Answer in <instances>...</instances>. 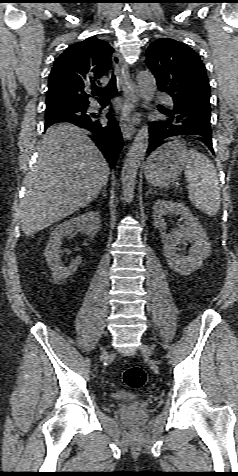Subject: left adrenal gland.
<instances>
[{
    "instance_id": "obj_1",
    "label": "left adrenal gland",
    "mask_w": 238,
    "mask_h": 476,
    "mask_svg": "<svg viewBox=\"0 0 238 476\" xmlns=\"http://www.w3.org/2000/svg\"><path fill=\"white\" fill-rule=\"evenodd\" d=\"M152 193H154V194H157L156 192H153V190H152V189H150V190L147 192V194H146V195H149V194H152Z\"/></svg>"
}]
</instances>
